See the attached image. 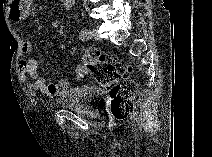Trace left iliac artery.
<instances>
[{
    "mask_svg": "<svg viewBox=\"0 0 212 157\" xmlns=\"http://www.w3.org/2000/svg\"><path fill=\"white\" fill-rule=\"evenodd\" d=\"M91 37V32L88 29H84L79 33V39L86 40Z\"/></svg>",
    "mask_w": 212,
    "mask_h": 157,
    "instance_id": "44dca946",
    "label": "left iliac artery"
}]
</instances>
